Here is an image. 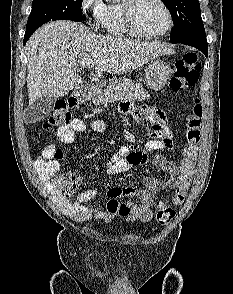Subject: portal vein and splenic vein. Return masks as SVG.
I'll list each match as a JSON object with an SVG mask.
<instances>
[{"mask_svg":"<svg viewBox=\"0 0 233 294\" xmlns=\"http://www.w3.org/2000/svg\"><path fill=\"white\" fill-rule=\"evenodd\" d=\"M94 61L91 60V59H83L81 62H80V66L81 67H87V66H91V65H94Z\"/></svg>","mask_w":233,"mask_h":294,"instance_id":"obj_1","label":"portal vein and splenic vein"}]
</instances>
